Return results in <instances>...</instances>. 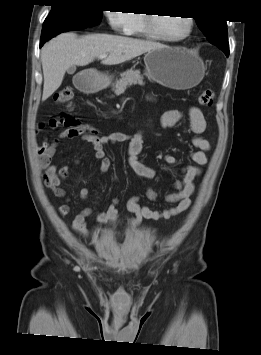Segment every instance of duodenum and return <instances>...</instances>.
I'll list each match as a JSON object with an SVG mask.
<instances>
[{
    "label": "duodenum",
    "instance_id": "duodenum-1",
    "mask_svg": "<svg viewBox=\"0 0 261 355\" xmlns=\"http://www.w3.org/2000/svg\"><path fill=\"white\" fill-rule=\"evenodd\" d=\"M77 86L82 90H92L96 88V85L90 82L89 80H81Z\"/></svg>",
    "mask_w": 261,
    "mask_h": 355
}]
</instances>
